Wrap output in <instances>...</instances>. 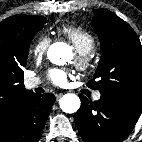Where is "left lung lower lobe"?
Listing matches in <instances>:
<instances>
[{
	"instance_id": "left-lung-lower-lobe-1",
	"label": "left lung lower lobe",
	"mask_w": 142,
	"mask_h": 142,
	"mask_svg": "<svg viewBox=\"0 0 142 142\" xmlns=\"http://www.w3.org/2000/svg\"><path fill=\"white\" fill-rule=\"evenodd\" d=\"M75 124L85 142H121L133 130L142 110L117 105L104 98L90 102L79 95Z\"/></svg>"
}]
</instances>
